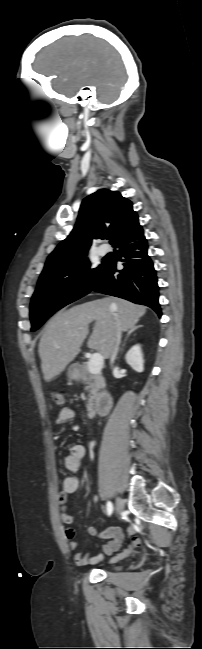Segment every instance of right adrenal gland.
<instances>
[{"label":"right adrenal gland","instance_id":"right-adrenal-gland-1","mask_svg":"<svg viewBox=\"0 0 202 649\" xmlns=\"http://www.w3.org/2000/svg\"><path fill=\"white\" fill-rule=\"evenodd\" d=\"M140 327H142V325L134 326V327L129 329V331L127 333V336H126V339H125L124 343L122 344V348L120 350V353L123 351V348L125 346V342H126L127 338Z\"/></svg>","mask_w":202,"mask_h":649}]
</instances>
